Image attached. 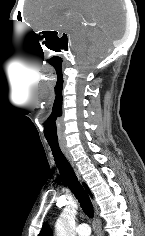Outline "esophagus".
Segmentation results:
<instances>
[{"instance_id": "34e87169", "label": "esophagus", "mask_w": 145, "mask_h": 236, "mask_svg": "<svg viewBox=\"0 0 145 236\" xmlns=\"http://www.w3.org/2000/svg\"><path fill=\"white\" fill-rule=\"evenodd\" d=\"M60 148H61L63 154L65 155V157L67 158L69 164H70L71 167L73 168V170H74L76 176H77L79 179H81L80 172H79V170H78V168H77V166H76V164H75V162H74V160H73V158H72V156H71V154H70V152H69L67 146H66L64 143H60ZM95 209H96L95 233H96V236H102L103 233H102V228H101V222H100V220H99V218H98V216H97V214H98V213H97V207H95Z\"/></svg>"}]
</instances>
